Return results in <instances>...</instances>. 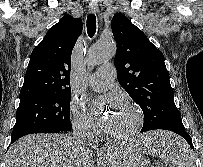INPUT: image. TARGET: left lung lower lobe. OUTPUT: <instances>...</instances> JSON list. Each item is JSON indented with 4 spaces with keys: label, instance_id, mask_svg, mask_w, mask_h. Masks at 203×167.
<instances>
[{
    "label": "left lung lower lobe",
    "instance_id": "left-lung-lower-lobe-1",
    "mask_svg": "<svg viewBox=\"0 0 203 167\" xmlns=\"http://www.w3.org/2000/svg\"><path fill=\"white\" fill-rule=\"evenodd\" d=\"M141 132H146L144 130H141ZM172 132H175L176 134L182 136L190 145V147L192 149H194L193 144H192V140L191 137L189 136V134L185 131V130H172Z\"/></svg>",
    "mask_w": 203,
    "mask_h": 167
}]
</instances>
